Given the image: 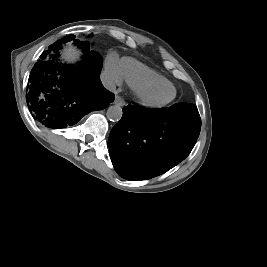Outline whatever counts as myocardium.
Returning a JSON list of instances; mask_svg holds the SVG:
<instances>
[{
  "mask_svg": "<svg viewBox=\"0 0 267 267\" xmlns=\"http://www.w3.org/2000/svg\"><path fill=\"white\" fill-rule=\"evenodd\" d=\"M160 86H170L173 89V95L169 99L165 101H153L149 99L146 96V92L149 89L155 88V87H160ZM134 93L137 98V100L144 106L148 107H153V108H161L165 107L168 104L172 103L176 97H177V90L175 86L171 82H147V83H142L134 87Z\"/></svg>",
  "mask_w": 267,
  "mask_h": 267,
  "instance_id": "1",
  "label": "myocardium"
}]
</instances>
